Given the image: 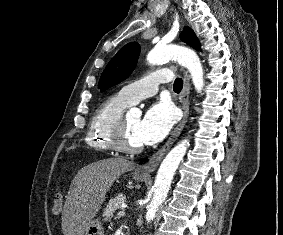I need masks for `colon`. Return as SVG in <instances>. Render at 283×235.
<instances>
[{
	"label": "colon",
	"instance_id": "obj_1",
	"mask_svg": "<svg viewBox=\"0 0 283 235\" xmlns=\"http://www.w3.org/2000/svg\"><path fill=\"white\" fill-rule=\"evenodd\" d=\"M63 204V195L61 192H56L53 198V207L52 212L58 213L60 212Z\"/></svg>",
	"mask_w": 283,
	"mask_h": 235
}]
</instances>
